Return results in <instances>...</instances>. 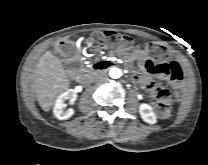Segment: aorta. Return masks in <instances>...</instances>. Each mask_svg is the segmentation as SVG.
<instances>
[{"mask_svg": "<svg viewBox=\"0 0 208 165\" xmlns=\"http://www.w3.org/2000/svg\"><path fill=\"white\" fill-rule=\"evenodd\" d=\"M109 75L113 79H118L122 76V70L120 68L113 67L110 69Z\"/></svg>", "mask_w": 208, "mask_h": 165, "instance_id": "762f6f07", "label": "aorta"}]
</instances>
